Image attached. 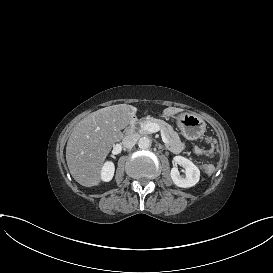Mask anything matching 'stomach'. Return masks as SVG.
I'll return each mask as SVG.
<instances>
[{
    "mask_svg": "<svg viewBox=\"0 0 273 273\" xmlns=\"http://www.w3.org/2000/svg\"><path fill=\"white\" fill-rule=\"evenodd\" d=\"M174 118L181 134L188 140H196L206 131V122L200 116L185 112Z\"/></svg>",
    "mask_w": 273,
    "mask_h": 273,
    "instance_id": "0dacf381",
    "label": "stomach"
}]
</instances>
